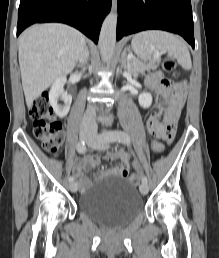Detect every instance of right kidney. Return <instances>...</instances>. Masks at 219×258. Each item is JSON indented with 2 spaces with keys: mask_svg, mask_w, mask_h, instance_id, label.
<instances>
[{
  "mask_svg": "<svg viewBox=\"0 0 219 258\" xmlns=\"http://www.w3.org/2000/svg\"><path fill=\"white\" fill-rule=\"evenodd\" d=\"M65 82V77L56 79L49 91V103L52 106L55 114L60 118H63L68 114L72 102V96L67 95L63 89ZM60 98L63 100L64 105L58 104V100Z\"/></svg>",
  "mask_w": 219,
  "mask_h": 258,
  "instance_id": "right-kidney-1",
  "label": "right kidney"
}]
</instances>
